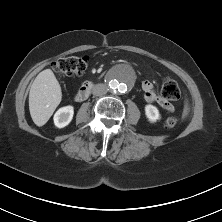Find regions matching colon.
Returning <instances> with one entry per match:
<instances>
[{"label":"colon","mask_w":222,"mask_h":222,"mask_svg":"<svg viewBox=\"0 0 222 222\" xmlns=\"http://www.w3.org/2000/svg\"><path fill=\"white\" fill-rule=\"evenodd\" d=\"M88 63L87 57H65L56 60L53 63V69L60 75H82L86 71ZM161 92L162 96L167 100L176 101L181 96L178 83L170 77L164 79ZM177 123V116H169L164 125L166 128H173Z\"/></svg>","instance_id":"1"}]
</instances>
